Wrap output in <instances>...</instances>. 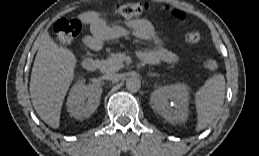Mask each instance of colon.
<instances>
[{
  "instance_id": "1",
  "label": "colon",
  "mask_w": 259,
  "mask_h": 156,
  "mask_svg": "<svg viewBox=\"0 0 259 156\" xmlns=\"http://www.w3.org/2000/svg\"><path fill=\"white\" fill-rule=\"evenodd\" d=\"M149 9V5L146 3H125L117 6L116 12L124 18L131 19L148 13ZM164 14L176 21L184 22L186 20L185 13L171 7H166ZM81 28V22L76 19H59L54 25L56 41L62 46L72 43L79 35ZM184 38L189 43H196L200 39V34L198 31H189L185 33ZM203 65L208 72L217 69V62L212 58H206Z\"/></svg>"
}]
</instances>
